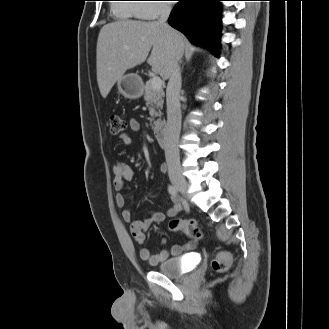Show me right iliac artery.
<instances>
[{
  "instance_id": "obj_1",
  "label": "right iliac artery",
  "mask_w": 329,
  "mask_h": 329,
  "mask_svg": "<svg viewBox=\"0 0 329 329\" xmlns=\"http://www.w3.org/2000/svg\"><path fill=\"white\" fill-rule=\"evenodd\" d=\"M168 192L173 196H178V191L173 185L168 186Z\"/></svg>"
}]
</instances>
